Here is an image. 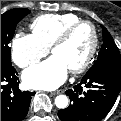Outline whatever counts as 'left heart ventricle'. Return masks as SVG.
Masks as SVG:
<instances>
[{
  "label": "left heart ventricle",
  "mask_w": 121,
  "mask_h": 121,
  "mask_svg": "<svg viewBox=\"0 0 121 121\" xmlns=\"http://www.w3.org/2000/svg\"><path fill=\"white\" fill-rule=\"evenodd\" d=\"M92 43V32L88 26L78 28L68 41L53 51V55L58 56L68 70L80 65L86 58Z\"/></svg>",
  "instance_id": "b2bd125f"
}]
</instances>
